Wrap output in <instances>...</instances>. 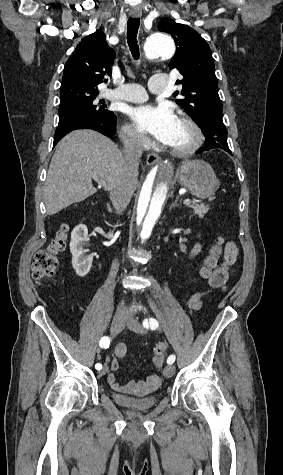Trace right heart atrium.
Masks as SVG:
<instances>
[{
  "label": "right heart atrium",
  "mask_w": 283,
  "mask_h": 475,
  "mask_svg": "<svg viewBox=\"0 0 283 475\" xmlns=\"http://www.w3.org/2000/svg\"><path fill=\"white\" fill-rule=\"evenodd\" d=\"M119 134L125 151L144 152L149 148V139L137 132L130 123H123Z\"/></svg>",
  "instance_id": "right-heart-atrium-1"
}]
</instances>
